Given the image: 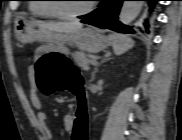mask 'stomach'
Listing matches in <instances>:
<instances>
[{
    "label": "stomach",
    "mask_w": 182,
    "mask_h": 140,
    "mask_svg": "<svg viewBox=\"0 0 182 140\" xmlns=\"http://www.w3.org/2000/svg\"><path fill=\"white\" fill-rule=\"evenodd\" d=\"M14 32L17 40L21 43H29L36 40L46 39V32L34 22L23 17L15 20ZM50 50L67 55L69 53L65 44L76 45L80 50L98 53L110 45L108 37L104 36L94 27L81 28L73 33H49Z\"/></svg>",
    "instance_id": "obj_1"
}]
</instances>
